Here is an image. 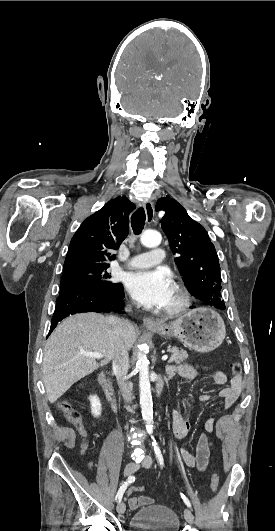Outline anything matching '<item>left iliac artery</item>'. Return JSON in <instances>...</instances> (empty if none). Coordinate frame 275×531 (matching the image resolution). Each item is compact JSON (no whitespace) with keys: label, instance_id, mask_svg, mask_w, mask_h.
Returning <instances> with one entry per match:
<instances>
[{"label":"left iliac artery","instance_id":"left-iliac-artery-1","mask_svg":"<svg viewBox=\"0 0 275 531\" xmlns=\"http://www.w3.org/2000/svg\"><path fill=\"white\" fill-rule=\"evenodd\" d=\"M152 445H153V448H154V453H155L156 459H157L158 463L160 464V466L163 468L164 460H163V456H162L161 450H160V448H159V446H158V444H157V442L155 440L152 442ZM180 494H181V498L183 499V501L187 505V507L191 508V503L188 500V498L183 493H180Z\"/></svg>","mask_w":275,"mask_h":531}]
</instances>
